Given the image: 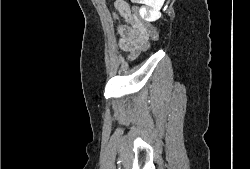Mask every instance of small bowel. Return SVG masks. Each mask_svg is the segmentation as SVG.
I'll use <instances>...</instances> for the list:
<instances>
[{
	"label": "small bowel",
	"instance_id": "c3829d8e",
	"mask_svg": "<svg viewBox=\"0 0 250 169\" xmlns=\"http://www.w3.org/2000/svg\"><path fill=\"white\" fill-rule=\"evenodd\" d=\"M118 12L125 17L126 21L130 24L131 28L128 31L123 30V37L125 38L122 41L123 49L129 53L130 58L137 57L142 49L146 47L145 43L137 42V35L139 32V28L141 27L135 18H133L130 14H124L118 7Z\"/></svg>",
	"mask_w": 250,
	"mask_h": 169
}]
</instances>
